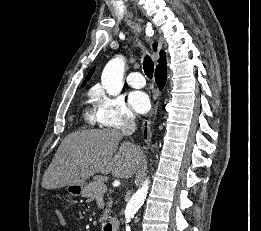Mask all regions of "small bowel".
<instances>
[{
	"mask_svg": "<svg viewBox=\"0 0 261 231\" xmlns=\"http://www.w3.org/2000/svg\"><path fill=\"white\" fill-rule=\"evenodd\" d=\"M51 222L53 224H58L61 227H64L66 225L65 218L61 213H55L51 216Z\"/></svg>",
	"mask_w": 261,
	"mask_h": 231,
	"instance_id": "obj_1",
	"label": "small bowel"
}]
</instances>
